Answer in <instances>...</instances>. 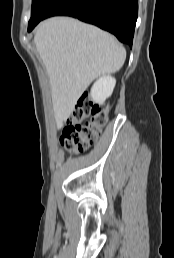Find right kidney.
I'll return each instance as SVG.
<instances>
[{
  "mask_svg": "<svg viewBox=\"0 0 174 258\" xmlns=\"http://www.w3.org/2000/svg\"><path fill=\"white\" fill-rule=\"evenodd\" d=\"M116 80L112 76L100 77L91 88V98L95 103L103 104L111 96Z\"/></svg>",
  "mask_w": 174,
  "mask_h": 258,
  "instance_id": "obj_1",
  "label": "right kidney"
}]
</instances>
